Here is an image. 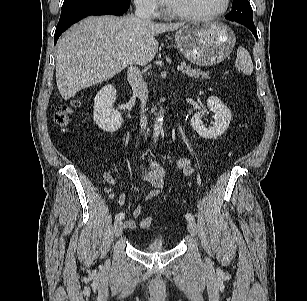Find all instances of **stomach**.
I'll return each mask as SVG.
<instances>
[{"mask_svg":"<svg viewBox=\"0 0 307 301\" xmlns=\"http://www.w3.org/2000/svg\"><path fill=\"white\" fill-rule=\"evenodd\" d=\"M234 32L224 23H189L175 33V43L182 55L200 66L217 64L234 48Z\"/></svg>","mask_w":307,"mask_h":301,"instance_id":"obj_1","label":"stomach"}]
</instances>
